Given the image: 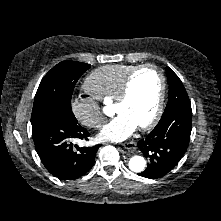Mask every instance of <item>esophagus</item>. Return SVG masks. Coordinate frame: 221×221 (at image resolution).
Returning a JSON list of instances; mask_svg holds the SVG:
<instances>
[{"mask_svg":"<svg viewBox=\"0 0 221 221\" xmlns=\"http://www.w3.org/2000/svg\"><path fill=\"white\" fill-rule=\"evenodd\" d=\"M123 147L129 151H135L137 148V144L133 141L131 142H126L123 144Z\"/></svg>","mask_w":221,"mask_h":221,"instance_id":"1","label":"esophagus"}]
</instances>
